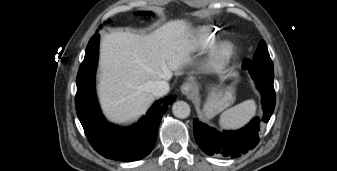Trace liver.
I'll use <instances>...</instances> for the list:
<instances>
[{"mask_svg":"<svg viewBox=\"0 0 337 171\" xmlns=\"http://www.w3.org/2000/svg\"><path fill=\"white\" fill-rule=\"evenodd\" d=\"M189 36L183 20L170 21L148 35L118 31L103 36L98 92L110 121L130 123L145 114L155 99L149 82L169 80L190 61Z\"/></svg>","mask_w":337,"mask_h":171,"instance_id":"1","label":"liver"}]
</instances>
